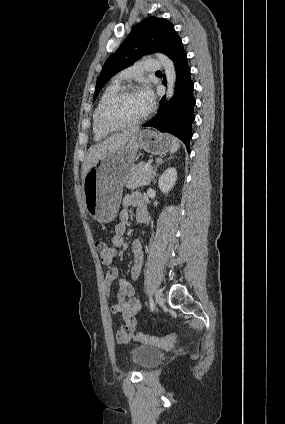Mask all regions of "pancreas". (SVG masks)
Masks as SVG:
<instances>
[{
	"label": "pancreas",
	"instance_id": "1",
	"mask_svg": "<svg viewBox=\"0 0 285 424\" xmlns=\"http://www.w3.org/2000/svg\"><path fill=\"white\" fill-rule=\"evenodd\" d=\"M145 165V163H139L132 168L131 176L126 181V188L133 190L150 184L153 171L152 168L144 171Z\"/></svg>",
	"mask_w": 285,
	"mask_h": 424
}]
</instances>
